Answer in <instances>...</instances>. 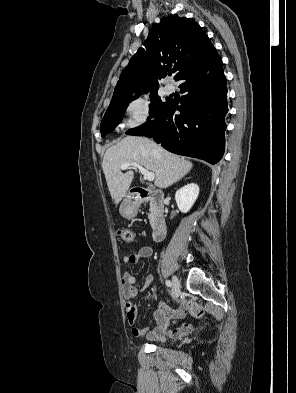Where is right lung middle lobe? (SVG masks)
I'll list each match as a JSON object with an SVG mask.
<instances>
[{
    "mask_svg": "<svg viewBox=\"0 0 296 393\" xmlns=\"http://www.w3.org/2000/svg\"><path fill=\"white\" fill-rule=\"evenodd\" d=\"M145 92L151 93V104L149 105L150 116L148 117V119H151L154 118L164 108L169 98H166V101L162 102L157 94L158 89H152ZM140 94L141 93H138L126 99L111 101L101 122L100 128L102 137L112 132L116 128V126L121 122L128 104L132 100L138 98Z\"/></svg>",
    "mask_w": 296,
    "mask_h": 393,
    "instance_id": "dd1d6c3e",
    "label": "right lung middle lobe"
}]
</instances>
